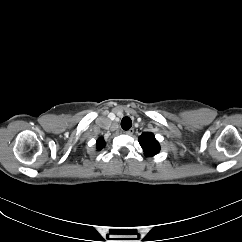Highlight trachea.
<instances>
[{"label":"trachea","mask_w":242,"mask_h":242,"mask_svg":"<svg viewBox=\"0 0 242 242\" xmlns=\"http://www.w3.org/2000/svg\"><path fill=\"white\" fill-rule=\"evenodd\" d=\"M132 126V121L129 117H124L121 121V127L124 130H129Z\"/></svg>","instance_id":"1"}]
</instances>
